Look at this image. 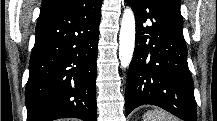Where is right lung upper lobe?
<instances>
[{"label": "right lung upper lobe", "instance_id": "cb5924a9", "mask_svg": "<svg viewBox=\"0 0 217 121\" xmlns=\"http://www.w3.org/2000/svg\"><path fill=\"white\" fill-rule=\"evenodd\" d=\"M83 0H43L40 14L78 6Z\"/></svg>", "mask_w": 217, "mask_h": 121}]
</instances>
